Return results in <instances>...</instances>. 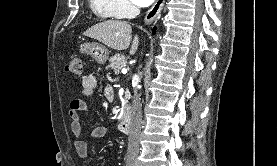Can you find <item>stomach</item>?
<instances>
[{
	"mask_svg": "<svg viewBox=\"0 0 277 166\" xmlns=\"http://www.w3.org/2000/svg\"><path fill=\"white\" fill-rule=\"evenodd\" d=\"M80 52L91 56L100 65H104L109 58L108 49L99 43H83Z\"/></svg>",
	"mask_w": 277,
	"mask_h": 166,
	"instance_id": "stomach-1",
	"label": "stomach"
}]
</instances>
